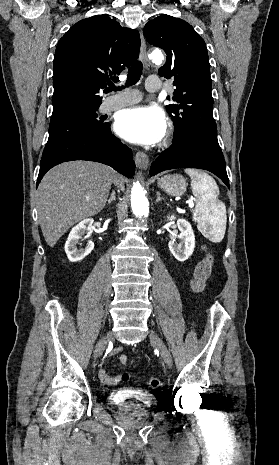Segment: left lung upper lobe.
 <instances>
[{
    "label": "left lung upper lobe",
    "mask_w": 279,
    "mask_h": 465,
    "mask_svg": "<svg viewBox=\"0 0 279 465\" xmlns=\"http://www.w3.org/2000/svg\"><path fill=\"white\" fill-rule=\"evenodd\" d=\"M143 33L162 48L167 60L159 75L173 78L176 87L166 106L175 125L174 141L194 137L220 148L213 118L210 64L206 44L186 21L163 14L149 21Z\"/></svg>",
    "instance_id": "obj_1"
}]
</instances>
